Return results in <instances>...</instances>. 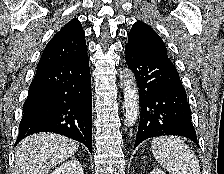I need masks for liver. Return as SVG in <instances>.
I'll list each match as a JSON object with an SVG mask.
<instances>
[{
    "label": "liver",
    "mask_w": 224,
    "mask_h": 174,
    "mask_svg": "<svg viewBox=\"0 0 224 174\" xmlns=\"http://www.w3.org/2000/svg\"><path fill=\"white\" fill-rule=\"evenodd\" d=\"M78 147L76 141L56 133L33 134L17 145L13 174H47Z\"/></svg>",
    "instance_id": "liver-1"
}]
</instances>
